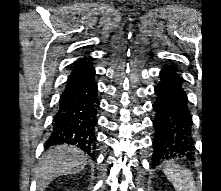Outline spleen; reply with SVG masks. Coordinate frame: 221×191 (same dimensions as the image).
<instances>
[{
    "mask_svg": "<svg viewBox=\"0 0 221 191\" xmlns=\"http://www.w3.org/2000/svg\"><path fill=\"white\" fill-rule=\"evenodd\" d=\"M163 171L175 191H195L193 173L190 170L169 161L164 164Z\"/></svg>",
    "mask_w": 221,
    "mask_h": 191,
    "instance_id": "obj_1",
    "label": "spleen"
}]
</instances>
